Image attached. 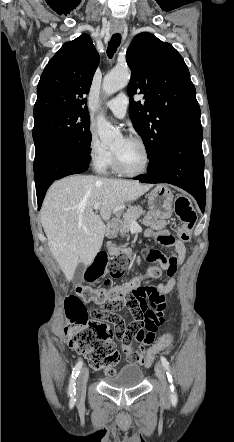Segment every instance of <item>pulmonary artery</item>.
<instances>
[{
	"label": "pulmonary artery",
	"instance_id": "obj_1",
	"mask_svg": "<svg viewBox=\"0 0 234 442\" xmlns=\"http://www.w3.org/2000/svg\"><path fill=\"white\" fill-rule=\"evenodd\" d=\"M129 99L126 94H119L106 103L107 108L118 118L126 115Z\"/></svg>",
	"mask_w": 234,
	"mask_h": 442
}]
</instances>
